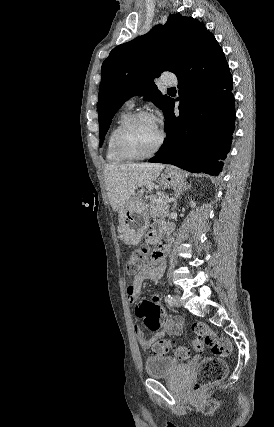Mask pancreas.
Instances as JSON below:
<instances>
[{"label": "pancreas", "mask_w": 274, "mask_h": 427, "mask_svg": "<svg viewBox=\"0 0 274 427\" xmlns=\"http://www.w3.org/2000/svg\"><path fill=\"white\" fill-rule=\"evenodd\" d=\"M169 212V202L167 196H151L150 210L151 217H167Z\"/></svg>", "instance_id": "obj_1"}]
</instances>
